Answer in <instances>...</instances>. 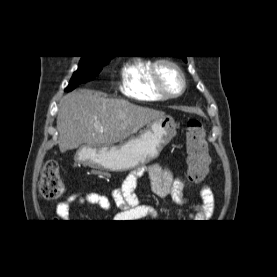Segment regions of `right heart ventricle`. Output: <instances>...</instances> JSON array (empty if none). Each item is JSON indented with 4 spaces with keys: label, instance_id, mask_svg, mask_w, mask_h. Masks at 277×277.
Masks as SVG:
<instances>
[{
    "label": "right heart ventricle",
    "instance_id": "obj_1",
    "mask_svg": "<svg viewBox=\"0 0 277 277\" xmlns=\"http://www.w3.org/2000/svg\"><path fill=\"white\" fill-rule=\"evenodd\" d=\"M152 64L148 59H135L123 67L121 91L124 95L140 101L166 100L154 88Z\"/></svg>",
    "mask_w": 277,
    "mask_h": 277
}]
</instances>
